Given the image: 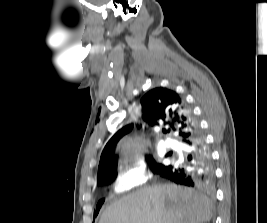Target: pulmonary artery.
Here are the masks:
<instances>
[{
  "label": "pulmonary artery",
  "instance_id": "1",
  "mask_svg": "<svg viewBox=\"0 0 267 223\" xmlns=\"http://www.w3.org/2000/svg\"><path fill=\"white\" fill-rule=\"evenodd\" d=\"M165 145H166V147H168V148L174 147V145H173V143H172L171 141H166V142H165Z\"/></svg>",
  "mask_w": 267,
  "mask_h": 223
}]
</instances>
